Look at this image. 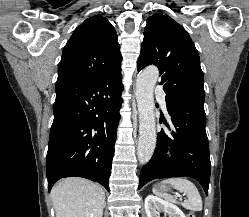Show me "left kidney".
I'll use <instances>...</instances> for the list:
<instances>
[{"instance_id":"obj_1","label":"left kidney","mask_w":249,"mask_h":217,"mask_svg":"<svg viewBox=\"0 0 249 217\" xmlns=\"http://www.w3.org/2000/svg\"><path fill=\"white\" fill-rule=\"evenodd\" d=\"M145 210L147 217H160L159 212L161 211L168 214L169 217H186L177 206L154 195H148L145 198Z\"/></svg>"}]
</instances>
